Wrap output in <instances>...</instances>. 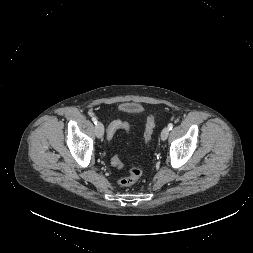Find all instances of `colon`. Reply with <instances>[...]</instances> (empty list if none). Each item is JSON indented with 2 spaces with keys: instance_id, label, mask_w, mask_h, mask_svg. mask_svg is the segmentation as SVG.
Segmentation results:
<instances>
[{
  "instance_id": "5ec220e1",
  "label": "colon",
  "mask_w": 253,
  "mask_h": 253,
  "mask_svg": "<svg viewBox=\"0 0 253 253\" xmlns=\"http://www.w3.org/2000/svg\"><path fill=\"white\" fill-rule=\"evenodd\" d=\"M155 127V116L150 115L147 118L146 125H145V131H144V141L148 145L151 141L153 130ZM119 129H124V130H129V125L126 122L123 121H115L113 122L107 132V137L108 139H112L114 134L116 133L117 130ZM112 164L114 167L121 169L122 165L120 161L118 160L117 157H114L112 159ZM141 170L137 167H131L128 169V175L121 178L118 183L120 186L123 187H128L133 184H135L141 177Z\"/></svg>"
}]
</instances>
